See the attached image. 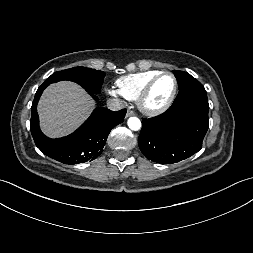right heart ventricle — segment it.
Instances as JSON below:
<instances>
[{"mask_svg": "<svg viewBox=\"0 0 253 253\" xmlns=\"http://www.w3.org/2000/svg\"><path fill=\"white\" fill-rule=\"evenodd\" d=\"M160 71L150 70L122 76L116 80L118 92L129 100H137L147 83Z\"/></svg>", "mask_w": 253, "mask_h": 253, "instance_id": "1", "label": "right heart ventricle"}]
</instances>
